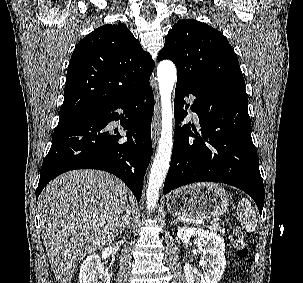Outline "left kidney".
<instances>
[{
    "label": "left kidney",
    "instance_id": "5707ae66",
    "mask_svg": "<svg viewBox=\"0 0 303 283\" xmlns=\"http://www.w3.org/2000/svg\"><path fill=\"white\" fill-rule=\"evenodd\" d=\"M177 236L183 244H188L191 237H196L198 250L203 255L199 265L205 270L204 273H200L190 263L184 265L187 283H218L226 266L223 238L211 231L185 226L178 228Z\"/></svg>",
    "mask_w": 303,
    "mask_h": 283
}]
</instances>
